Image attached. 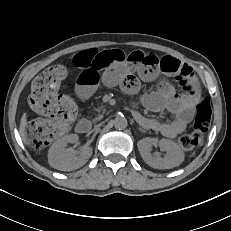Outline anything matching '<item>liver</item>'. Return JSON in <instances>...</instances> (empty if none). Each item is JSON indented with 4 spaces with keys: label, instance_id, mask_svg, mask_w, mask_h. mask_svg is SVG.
<instances>
[{
    "label": "liver",
    "instance_id": "liver-1",
    "mask_svg": "<svg viewBox=\"0 0 231 231\" xmlns=\"http://www.w3.org/2000/svg\"><path fill=\"white\" fill-rule=\"evenodd\" d=\"M26 126H27V119H26V114H23L22 117H21V120H20V127H19V132H20V135L23 139V141L27 143V139H26Z\"/></svg>",
    "mask_w": 231,
    "mask_h": 231
}]
</instances>
